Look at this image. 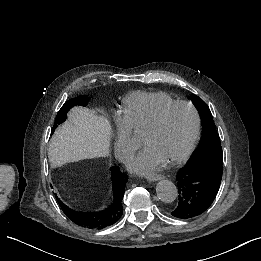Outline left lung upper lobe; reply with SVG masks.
<instances>
[{
  "label": "left lung upper lobe",
  "instance_id": "left-lung-upper-lobe-1",
  "mask_svg": "<svg viewBox=\"0 0 261 261\" xmlns=\"http://www.w3.org/2000/svg\"><path fill=\"white\" fill-rule=\"evenodd\" d=\"M190 98L197 108L202 121V138L189 161L196 162L203 159H214L222 162L223 153L220 138L217 134L210 109L198 96L191 95Z\"/></svg>",
  "mask_w": 261,
  "mask_h": 261
}]
</instances>
